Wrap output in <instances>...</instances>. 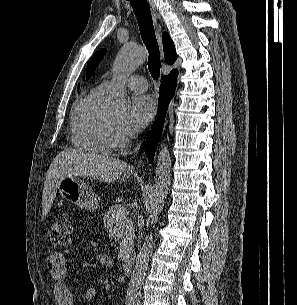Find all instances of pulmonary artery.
Here are the masks:
<instances>
[{
    "label": "pulmonary artery",
    "instance_id": "1",
    "mask_svg": "<svg viewBox=\"0 0 297 305\" xmlns=\"http://www.w3.org/2000/svg\"><path fill=\"white\" fill-rule=\"evenodd\" d=\"M125 85L132 91L144 92L147 90V80L143 76L132 75L125 79ZM110 85L109 81H103L100 87L104 90H107Z\"/></svg>",
    "mask_w": 297,
    "mask_h": 305
}]
</instances>
